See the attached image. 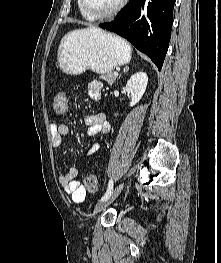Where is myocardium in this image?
I'll return each instance as SVG.
<instances>
[{"mask_svg":"<svg viewBox=\"0 0 221 263\" xmlns=\"http://www.w3.org/2000/svg\"><path fill=\"white\" fill-rule=\"evenodd\" d=\"M127 2L128 0H120L119 3L111 10L104 12V13H100V14H94L90 12L89 9L87 8L85 0H79L82 11L89 19H92V20H99V19H106V18L113 17L114 15L119 13L124 8Z\"/></svg>","mask_w":221,"mask_h":263,"instance_id":"obj_1","label":"myocardium"}]
</instances>
